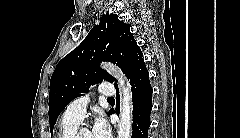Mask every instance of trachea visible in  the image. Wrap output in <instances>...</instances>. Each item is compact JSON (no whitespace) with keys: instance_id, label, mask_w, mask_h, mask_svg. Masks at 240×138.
I'll return each mask as SVG.
<instances>
[{"instance_id":"1","label":"trachea","mask_w":240,"mask_h":138,"mask_svg":"<svg viewBox=\"0 0 240 138\" xmlns=\"http://www.w3.org/2000/svg\"><path fill=\"white\" fill-rule=\"evenodd\" d=\"M108 100H109V101H113V100H114V98H113V97H111V98H108Z\"/></svg>"}]
</instances>
